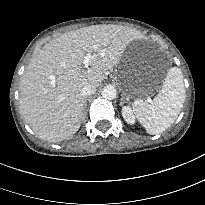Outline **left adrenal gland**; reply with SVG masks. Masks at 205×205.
Returning a JSON list of instances; mask_svg holds the SVG:
<instances>
[{"instance_id":"left-adrenal-gland-1","label":"left adrenal gland","mask_w":205,"mask_h":205,"mask_svg":"<svg viewBox=\"0 0 205 205\" xmlns=\"http://www.w3.org/2000/svg\"><path fill=\"white\" fill-rule=\"evenodd\" d=\"M125 102H126V101H125V97L122 96V98H121V102H120V105H123Z\"/></svg>"}]
</instances>
